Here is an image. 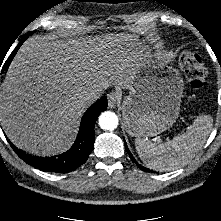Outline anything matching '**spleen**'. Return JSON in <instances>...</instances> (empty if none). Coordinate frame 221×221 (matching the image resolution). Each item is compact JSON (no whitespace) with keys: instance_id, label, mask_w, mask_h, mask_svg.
I'll list each match as a JSON object with an SVG mask.
<instances>
[{"instance_id":"3e777b00","label":"spleen","mask_w":221,"mask_h":221,"mask_svg":"<svg viewBox=\"0 0 221 221\" xmlns=\"http://www.w3.org/2000/svg\"><path fill=\"white\" fill-rule=\"evenodd\" d=\"M210 115H199L194 123L165 143L154 144L149 140L135 139V148L144 164L156 171H170L183 165L201 148L212 128Z\"/></svg>"}]
</instances>
